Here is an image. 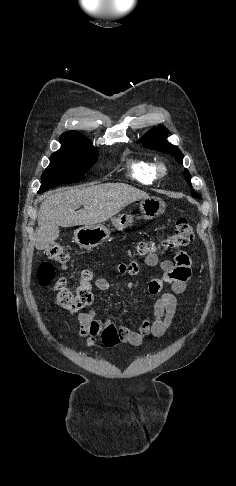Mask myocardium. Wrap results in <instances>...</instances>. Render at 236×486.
Returning <instances> with one entry per match:
<instances>
[{
	"mask_svg": "<svg viewBox=\"0 0 236 486\" xmlns=\"http://www.w3.org/2000/svg\"><path fill=\"white\" fill-rule=\"evenodd\" d=\"M167 172V167L164 163L159 162L156 164V174L157 176L161 177L164 176Z\"/></svg>",
	"mask_w": 236,
	"mask_h": 486,
	"instance_id": "f54148a6",
	"label": "myocardium"
}]
</instances>
